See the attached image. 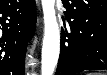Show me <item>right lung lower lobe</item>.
<instances>
[{
	"instance_id": "right-lung-lower-lobe-1",
	"label": "right lung lower lobe",
	"mask_w": 107,
	"mask_h": 75,
	"mask_svg": "<svg viewBox=\"0 0 107 75\" xmlns=\"http://www.w3.org/2000/svg\"><path fill=\"white\" fill-rule=\"evenodd\" d=\"M35 23L34 0H0V75H24L26 44Z\"/></svg>"
}]
</instances>
